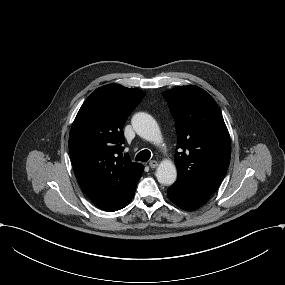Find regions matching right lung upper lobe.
<instances>
[{"label": "right lung upper lobe", "mask_w": 285, "mask_h": 285, "mask_svg": "<svg viewBox=\"0 0 285 285\" xmlns=\"http://www.w3.org/2000/svg\"><path fill=\"white\" fill-rule=\"evenodd\" d=\"M139 89L109 84L96 89L71 127L69 150L76 178L100 209H121L133 194L144 167L123 154V126L145 96Z\"/></svg>", "instance_id": "cb5924a9"}]
</instances>
